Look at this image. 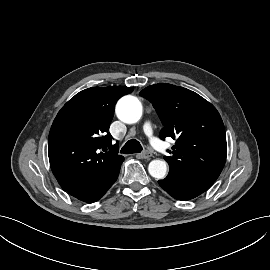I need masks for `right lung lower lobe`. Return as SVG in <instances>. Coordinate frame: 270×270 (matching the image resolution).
Listing matches in <instances>:
<instances>
[{"instance_id":"obj_1","label":"right lung lower lobe","mask_w":270,"mask_h":270,"mask_svg":"<svg viewBox=\"0 0 270 270\" xmlns=\"http://www.w3.org/2000/svg\"><path fill=\"white\" fill-rule=\"evenodd\" d=\"M121 164L114 168L109 175L89 184L66 190L73 197L88 203L99 200L118 178Z\"/></svg>"}]
</instances>
